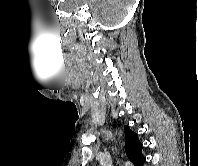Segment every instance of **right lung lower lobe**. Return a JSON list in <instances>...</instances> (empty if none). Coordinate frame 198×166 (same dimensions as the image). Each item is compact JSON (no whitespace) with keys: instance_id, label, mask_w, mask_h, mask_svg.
Masks as SVG:
<instances>
[{"instance_id":"1","label":"right lung lower lobe","mask_w":198,"mask_h":166,"mask_svg":"<svg viewBox=\"0 0 198 166\" xmlns=\"http://www.w3.org/2000/svg\"><path fill=\"white\" fill-rule=\"evenodd\" d=\"M145 161H146V159H145V160H144V162L141 164V166H143V165H144Z\"/></svg>"}]
</instances>
